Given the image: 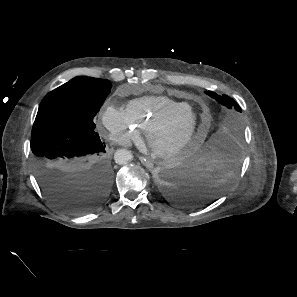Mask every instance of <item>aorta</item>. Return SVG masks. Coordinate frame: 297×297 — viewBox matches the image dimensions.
<instances>
[{
	"mask_svg": "<svg viewBox=\"0 0 297 297\" xmlns=\"http://www.w3.org/2000/svg\"><path fill=\"white\" fill-rule=\"evenodd\" d=\"M132 159L133 155L127 149H118L114 155L115 162L120 165L127 164L128 162L132 161Z\"/></svg>",
	"mask_w": 297,
	"mask_h": 297,
	"instance_id": "obj_1",
	"label": "aorta"
}]
</instances>
